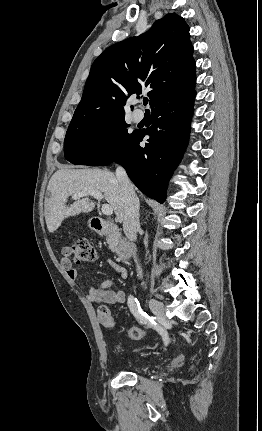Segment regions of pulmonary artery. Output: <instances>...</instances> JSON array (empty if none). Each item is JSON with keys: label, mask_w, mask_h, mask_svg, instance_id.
<instances>
[{"label": "pulmonary artery", "mask_w": 262, "mask_h": 431, "mask_svg": "<svg viewBox=\"0 0 262 431\" xmlns=\"http://www.w3.org/2000/svg\"><path fill=\"white\" fill-rule=\"evenodd\" d=\"M143 118H144V112L141 109H136L133 112V120L135 122H140L143 120Z\"/></svg>", "instance_id": "1"}]
</instances>
